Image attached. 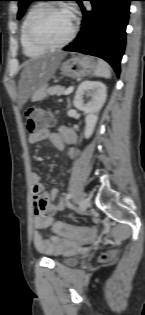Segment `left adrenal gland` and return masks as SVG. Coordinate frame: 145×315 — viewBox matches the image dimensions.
Listing matches in <instances>:
<instances>
[{
  "label": "left adrenal gland",
  "instance_id": "1",
  "mask_svg": "<svg viewBox=\"0 0 145 315\" xmlns=\"http://www.w3.org/2000/svg\"><path fill=\"white\" fill-rule=\"evenodd\" d=\"M67 102H68V108H69L71 106L70 98L67 99Z\"/></svg>",
  "mask_w": 145,
  "mask_h": 315
}]
</instances>
